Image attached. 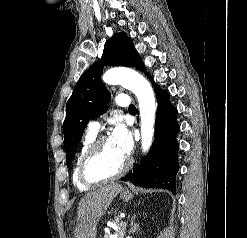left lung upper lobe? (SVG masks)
<instances>
[{
    "label": "left lung upper lobe",
    "instance_id": "5c2ea615",
    "mask_svg": "<svg viewBox=\"0 0 247 238\" xmlns=\"http://www.w3.org/2000/svg\"><path fill=\"white\" fill-rule=\"evenodd\" d=\"M110 65L136 67L140 71H146L132 40L125 32L116 33L106 41L101 60L82 74L66 104L63 133L67 166L73 160L75 149L88 121L106 112L110 93L100 76L103 66Z\"/></svg>",
    "mask_w": 247,
    "mask_h": 238
}]
</instances>
